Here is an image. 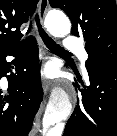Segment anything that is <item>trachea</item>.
Masks as SVG:
<instances>
[{
  "instance_id": "trachea-1",
  "label": "trachea",
  "mask_w": 117,
  "mask_h": 136,
  "mask_svg": "<svg viewBox=\"0 0 117 136\" xmlns=\"http://www.w3.org/2000/svg\"><path fill=\"white\" fill-rule=\"evenodd\" d=\"M35 22L38 26V30H39V34L43 40V42L45 43V45L53 52H60V53H66V54H71L70 52H68L67 50H65L63 47H61L60 45H58L42 28L41 24H40V20L38 15L36 14L35 16ZM31 26L28 30V32H30L31 30Z\"/></svg>"
}]
</instances>
